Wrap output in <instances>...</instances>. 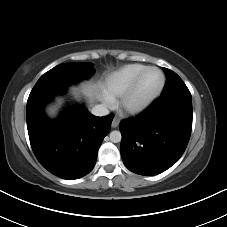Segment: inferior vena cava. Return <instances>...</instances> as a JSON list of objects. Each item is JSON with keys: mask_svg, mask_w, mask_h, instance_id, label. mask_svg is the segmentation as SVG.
Wrapping results in <instances>:
<instances>
[{"mask_svg": "<svg viewBox=\"0 0 227 227\" xmlns=\"http://www.w3.org/2000/svg\"><path fill=\"white\" fill-rule=\"evenodd\" d=\"M91 113L95 116H106L109 114V110L108 108L104 105V104H99V105H95L92 110Z\"/></svg>", "mask_w": 227, "mask_h": 227, "instance_id": "inferior-vena-cava-1", "label": "inferior vena cava"}]
</instances>
